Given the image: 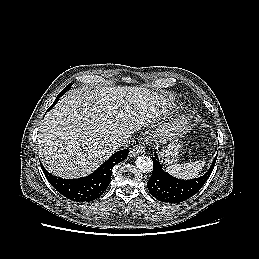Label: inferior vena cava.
I'll list each match as a JSON object with an SVG mask.
<instances>
[{"mask_svg": "<svg viewBox=\"0 0 259 259\" xmlns=\"http://www.w3.org/2000/svg\"><path fill=\"white\" fill-rule=\"evenodd\" d=\"M129 145L130 139L128 137H124L114 143V149L117 150L118 148H127Z\"/></svg>", "mask_w": 259, "mask_h": 259, "instance_id": "inferior-vena-cava-1", "label": "inferior vena cava"}]
</instances>
